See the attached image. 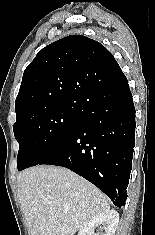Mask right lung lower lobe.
<instances>
[{
    "label": "right lung lower lobe",
    "mask_w": 155,
    "mask_h": 235,
    "mask_svg": "<svg viewBox=\"0 0 155 235\" xmlns=\"http://www.w3.org/2000/svg\"><path fill=\"white\" fill-rule=\"evenodd\" d=\"M80 127L39 164L69 168L125 205L135 145V108L124 74L99 84L78 106Z\"/></svg>",
    "instance_id": "1"
}]
</instances>
